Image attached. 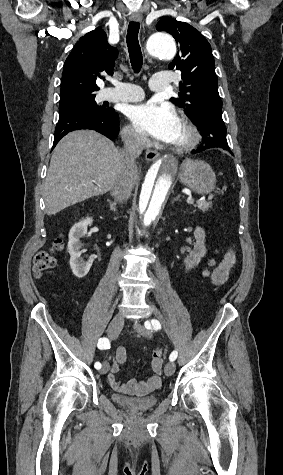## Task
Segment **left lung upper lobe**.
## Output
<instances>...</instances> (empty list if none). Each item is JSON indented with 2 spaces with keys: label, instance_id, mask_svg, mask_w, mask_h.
I'll return each mask as SVG.
<instances>
[{
  "label": "left lung upper lobe",
  "instance_id": "5c2ea615",
  "mask_svg": "<svg viewBox=\"0 0 283 475\" xmlns=\"http://www.w3.org/2000/svg\"><path fill=\"white\" fill-rule=\"evenodd\" d=\"M158 31L170 33L179 51L168 68L182 72L179 96L171 102L183 108L196 122L208 107L222 108L218 93V79L211 46L207 39L191 25L171 17H163L156 25Z\"/></svg>",
  "mask_w": 283,
  "mask_h": 475
}]
</instances>
